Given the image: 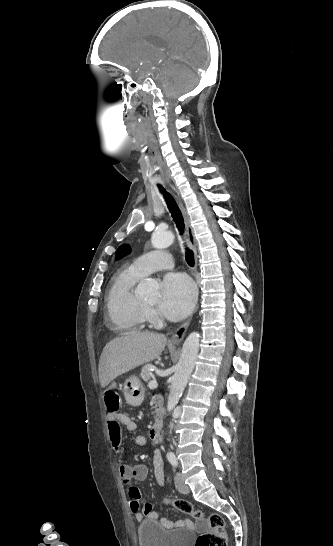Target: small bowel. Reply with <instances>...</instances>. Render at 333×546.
<instances>
[{"mask_svg":"<svg viewBox=\"0 0 333 546\" xmlns=\"http://www.w3.org/2000/svg\"><path fill=\"white\" fill-rule=\"evenodd\" d=\"M116 386V381L114 379H109L107 381V387L105 388V391L107 393H112L114 391V387ZM157 404V413L160 414V400H156ZM107 427H108V434L109 439L112 443V445L115 448H118L120 445V439H121V425H124L129 431H134L137 428V425L134 421H132L127 415L123 413H117L115 415H112L107 410ZM120 429V437L117 438V430ZM151 438V435H150ZM152 443H156L157 441L153 440L151 438ZM134 443L139 446H145L147 444V439L142 436L138 435L134 438ZM153 466H154V477L158 485H163L165 480L164 475V465H163V459L161 456V453L159 451H155L153 455ZM119 475L122 478L127 491L128 495L130 497V510L134 514L136 520H142L143 518H150L153 520L158 519L157 513L154 511L153 506L151 503H145L143 508H140V493L136 486L134 485V481L144 480L148 475V468L144 464H136L131 465L127 463H123L119 466L118 469ZM185 521L178 522V525L183 524ZM160 523L163 526L169 527L173 525V523L166 518H161Z\"/></svg>","mask_w":333,"mask_h":546,"instance_id":"1","label":"small bowel"}]
</instances>
